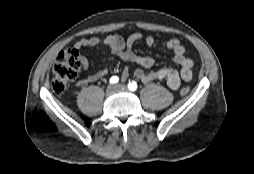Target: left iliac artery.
<instances>
[{
    "instance_id": "1",
    "label": "left iliac artery",
    "mask_w": 254,
    "mask_h": 174,
    "mask_svg": "<svg viewBox=\"0 0 254 174\" xmlns=\"http://www.w3.org/2000/svg\"><path fill=\"white\" fill-rule=\"evenodd\" d=\"M128 89L131 91H135L137 89V83L135 81L129 82Z\"/></svg>"
}]
</instances>
